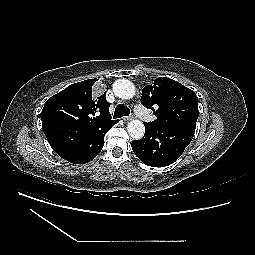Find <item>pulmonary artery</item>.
I'll list each match as a JSON object with an SVG mask.
<instances>
[{"label": "pulmonary artery", "instance_id": "1", "mask_svg": "<svg viewBox=\"0 0 255 255\" xmlns=\"http://www.w3.org/2000/svg\"><path fill=\"white\" fill-rule=\"evenodd\" d=\"M134 112L142 119H151L152 116L139 104L134 106Z\"/></svg>", "mask_w": 255, "mask_h": 255}]
</instances>
